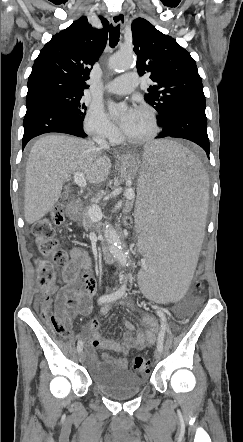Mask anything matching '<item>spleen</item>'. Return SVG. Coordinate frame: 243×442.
<instances>
[{
	"label": "spleen",
	"mask_w": 243,
	"mask_h": 442,
	"mask_svg": "<svg viewBox=\"0 0 243 442\" xmlns=\"http://www.w3.org/2000/svg\"><path fill=\"white\" fill-rule=\"evenodd\" d=\"M136 172L137 237H151L136 289L150 302L177 307L191 286L204 236L206 174L194 153L169 140L145 145Z\"/></svg>",
	"instance_id": "obj_1"
}]
</instances>
